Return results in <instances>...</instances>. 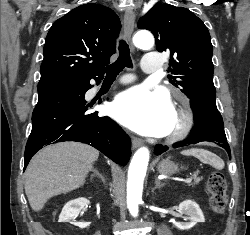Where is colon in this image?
I'll return each mask as SVG.
<instances>
[{
	"label": "colon",
	"mask_w": 250,
	"mask_h": 235,
	"mask_svg": "<svg viewBox=\"0 0 250 235\" xmlns=\"http://www.w3.org/2000/svg\"><path fill=\"white\" fill-rule=\"evenodd\" d=\"M207 191L209 194V204L211 210L216 214L223 213L227 201V181L222 172H212L206 182Z\"/></svg>",
	"instance_id": "obj_1"
}]
</instances>
